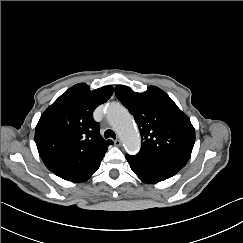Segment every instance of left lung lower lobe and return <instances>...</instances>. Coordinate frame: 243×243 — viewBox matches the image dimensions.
Returning a JSON list of instances; mask_svg holds the SVG:
<instances>
[{"mask_svg": "<svg viewBox=\"0 0 243 243\" xmlns=\"http://www.w3.org/2000/svg\"><path fill=\"white\" fill-rule=\"evenodd\" d=\"M132 171L144 183H157L175 175L186 162L147 154L126 155Z\"/></svg>", "mask_w": 243, "mask_h": 243, "instance_id": "0a47b994", "label": "left lung lower lobe"}]
</instances>
